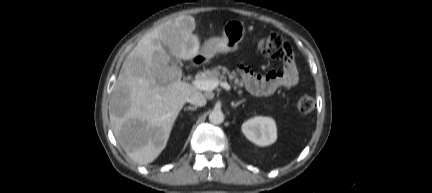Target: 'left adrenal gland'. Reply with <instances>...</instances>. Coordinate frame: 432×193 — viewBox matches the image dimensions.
Here are the masks:
<instances>
[{
    "label": "left adrenal gland",
    "instance_id": "a2214340",
    "mask_svg": "<svg viewBox=\"0 0 432 193\" xmlns=\"http://www.w3.org/2000/svg\"><path fill=\"white\" fill-rule=\"evenodd\" d=\"M243 102H245V99H242V100L237 101V102H232L231 105H232V107L235 108V107L239 106L240 104H242Z\"/></svg>",
    "mask_w": 432,
    "mask_h": 193
}]
</instances>
